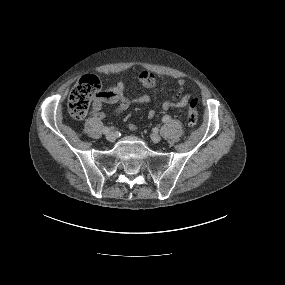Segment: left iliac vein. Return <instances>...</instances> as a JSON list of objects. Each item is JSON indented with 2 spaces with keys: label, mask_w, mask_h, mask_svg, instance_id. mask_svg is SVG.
I'll list each match as a JSON object with an SVG mask.
<instances>
[{
  "label": "left iliac vein",
  "mask_w": 285,
  "mask_h": 285,
  "mask_svg": "<svg viewBox=\"0 0 285 285\" xmlns=\"http://www.w3.org/2000/svg\"><path fill=\"white\" fill-rule=\"evenodd\" d=\"M151 140L154 143H159L161 141V136L156 134V133H153V134H151Z\"/></svg>",
  "instance_id": "left-iliac-vein-1"
}]
</instances>
